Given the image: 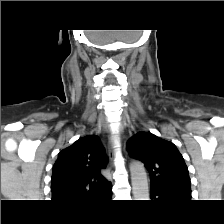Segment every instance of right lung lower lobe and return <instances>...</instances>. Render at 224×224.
<instances>
[{
  "label": "right lung lower lobe",
  "instance_id": "98d812e1",
  "mask_svg": "<svg viewBox=\"0 0 224 224\" xmlns=\"http://www.w3.org/2000/svg\"><path fill=\"white\" fill-rule=\"evenodd\" d=\"M107 198L110 199L111 198V194L109 196H107Z\"/></svg>",
  "mask_w": 224,
  "mask_h": 224
}]
</instances>
